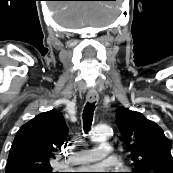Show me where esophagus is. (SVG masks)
<instances>
[{"instance_id":"34e87169","label":"esophagus","mask_w":173,"mask_h":173,"mask_svg":"<svg viewBox=\"0 0 173 173\" xmlns=\"http://www.w3.org/2000/svg\"><path fill=\"white\" fill-rule=\"evenodd\" d=\"M86 99L89 103H94V102H97L98 99H99V95L97 92L95 91H89L87 93V96H86Z\"/></svg>"}]
</instances>
